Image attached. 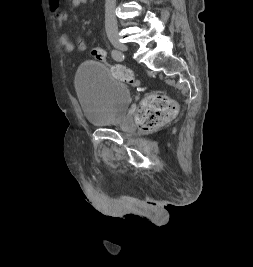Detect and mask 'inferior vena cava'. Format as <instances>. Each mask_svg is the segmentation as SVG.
<instances>
[{
    "instance_id": "1",
    "label": "inferior vena cava",
    "mask_w": 253,
    "mask_h": 267,
    "mask_svg": "<svg viewBox=\"0 0 253 267\" xmlns=\"http://www.w3.org/2000/svg\"><path fill=\"white\" fill-rule=\"evenodd\" d=\"M115 6H116V0H106L105 2V28L106 30H116L117 28Z\"/></svg>"
}]
</instances>
